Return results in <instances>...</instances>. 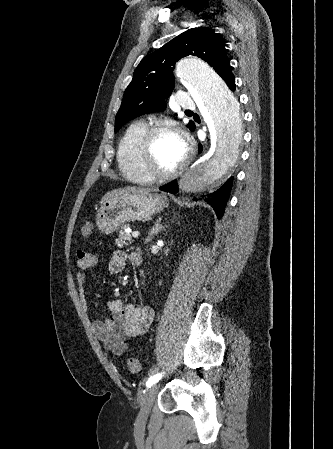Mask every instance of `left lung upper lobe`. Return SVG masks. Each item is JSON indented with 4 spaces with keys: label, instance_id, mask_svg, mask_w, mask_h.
I'll return each mask as SVG.
<instances>
[{
    "label": "left lung upper lobe",
    "instance_id": "obj_1",
    "mask_svg": "<svg viewBox=\"0 0 333 449\" xmlns=\"http://www.w3.org/2000/svg\"><path fill=\"white\" fill-rule=\"evenodd\" d=\"M194 55L206 61L223 78L231 70L225 42L210 28H192L143 58L126 88L115 119V132L145 113L162 111L174 88L173 67L180 58ZM190 130L195 129L192 121Z\"/></svg>",
    "mask_w": 333,
    "mask_h": 449
}]
</instances>
